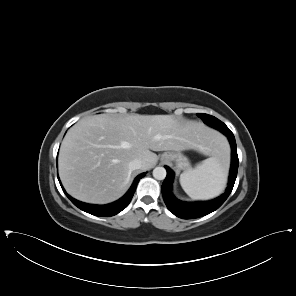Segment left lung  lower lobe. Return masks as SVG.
<instances>
[{"label":"left lung lower lobe","instance_id":"0a47b994","mask_svg":"<svg viewBox=\"0 0 296 296\" xmlns=\"http://www.w3.org/2000/svg\"><path fill=\"white\" fill-rule=\"evenodd\" d=\"M219 131L228 137L232 149L229 183L226 192L220 197L206 202L187 203L179 201L173 196L171 192L174 173L169 167L165 166L167 170V176L162 184V195L169 211L177 217L191 219L208 215L218 209L225 202L233 189L239 164L236 141L233 133L229 129H220Z\"/></svg>","mask_w":296,"mask_h":296}]
</instances>
